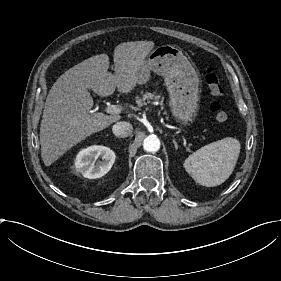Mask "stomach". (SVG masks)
<instances>
[{
	"mask_svg": "<svg viewBox=\"0 0 281 281\" xmlns=\"http://www.w3.org/2000/svg\"><path fill=\"white\" fill-rule=\"evenodd\" d=\"M150 71L164 78L173 116L183 124L192 122L199 108L200 76L188 57L175 46H158L137 71V83L149 81Z\"/></svg>",
	"mask_w": 281,
	"mask_h": 281,
	"instance_id": "0dacf381",
	"label": "stomach"
}]
</instances>
